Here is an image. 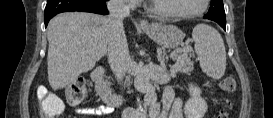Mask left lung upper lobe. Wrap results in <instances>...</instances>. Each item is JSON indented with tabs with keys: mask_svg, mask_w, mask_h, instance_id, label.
I'll return each instance as SVG.
<instances>
[{
	"mask_svg": "<svg viewBox=\"0 0 273 118\" xmlns=\"http://www.w3.org/2000/svg\"><path fill=\"white\" fill-rule=\"evenodd\" d=\"M204 18L213 20L217 23H226L223 0H211V7Z\"/></svg>",
	"mask_w": 273,
	"mask_h": 118,
	"instance_id": "1",
	"label": "left lung upper lobe"
}]
</instances>
